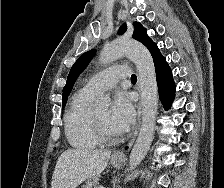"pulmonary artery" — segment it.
Returning a JSON list of instances; mask_svg holds the SVG:
<instances>
[{"instance_id":"e3ab8cb5","label":"pulmonary artery","mask_w":224,"mask_h":188,"mask_svg":"<svg viewBox=\"0 0 224 188\" xmlns=\"http://www.w3.org/2000/svg\"><path fill=\"white\" fill-rule=\"evenodd\" d=\"M130 75L126 66H115L104 69L91 77L84 85L83 89L95 96L115 87L119 80Z\"/></svg>"}]
</instances>
